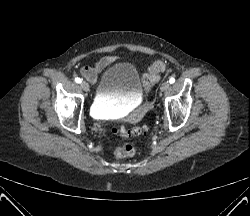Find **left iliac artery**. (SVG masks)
<instances>
[{"instance_id": "left-iliac-artery-1", "label": "left iliac artery", "mask_w": 250, "mask_h": 216, "mask_svg": "<svg viewBox=\"0 0 250 216\" xmlns=\"http://www.w3.org/2000/svg\"><path fill=\"white\" fill-rule=\"evenodd\" d=\"M174 82H175V78L171 77V78L169 79V83H170V84H173Z\"/></svg>"}]
</instances>
